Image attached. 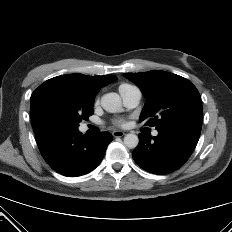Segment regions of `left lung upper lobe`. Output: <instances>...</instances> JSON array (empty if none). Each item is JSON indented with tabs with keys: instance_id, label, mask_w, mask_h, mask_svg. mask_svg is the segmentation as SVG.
I'll list each match as a JSON object with an SVG mask.
<instances>
[{
	"instance_id": "left-lung-upper-lobe-1",
	"label": "left lung upper lobe",
	"mask_w": 232,
	"mask_h": 232,
	"mask_svg": "<svg viewBox=\"0 0 232 232\" xmlns=\"http://www.w3.org/2000/svg\"><path fill=\"white\" fill-rule=\"evenodd\" d=\"M124 76L138 85L147 98L139 118L145 125L157 129L182 121L202 122L200 94L186 78L159 70L125 73Z\"/></svg>"
}]
</instances>
